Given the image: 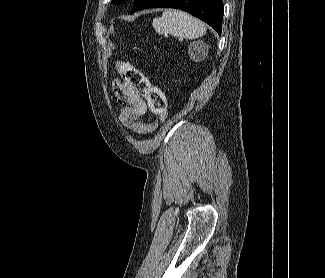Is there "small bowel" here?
Segmentation results:
<instances>
[{
    "label": "small bowel",
    "mask_w": 325,
    "mask_h": 278,
    "mask_svg": "<svg viewBox=\"0 0 325 278\" xmlns=\"http://www.w3.org/2000/svg\"><path fill=\"white\" fill-rule=\"evenodd\" d=\"M112 89L117 101L121 104L120 120L128 129L139 135L152 132L158 123L165 119L166 113L160 114L152 121H144L147 104L142 96L125 81L114 80Z\"/></svg>",
    "instance_id": "1"
}]
</instances>
